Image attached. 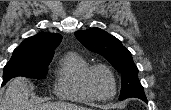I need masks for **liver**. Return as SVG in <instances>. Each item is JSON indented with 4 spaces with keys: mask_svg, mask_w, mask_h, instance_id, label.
<instances>
[{
    "mask_svg": "<svg viewBox=\"0 0 171 110\" xmlns=\"http://www.w3.org/2000/svg\"><path fill=\"white\" fill-rule=\"evenodd\" d=\"M31 87L28 79L16 77L7 86L5 95L0 103V110H86L74 104L65 102L42 103L33 105L29 102Z\"/></svg>",
    "mask_w": 171,
    "mask_h": 110,
    "instance_id": "liver-1",
    "label": "liver"
}]
</instances>
